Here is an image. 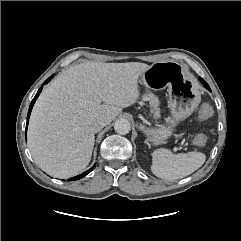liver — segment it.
Segmentation results:
<instances>
[{
  "mask_svg": "<svg viewBox=\"0 0 241 241\" xmlns=\"http://www.w3.org/2000/svg\"><path fill=\"white\" fill-rule=\"evenodd\" d=\"M145 63L87 62L63 71L37 99L28 127V147L47 174L69 178L89 164L95 141L92 123L109 124L139 98Z\"/></svg>",
  "mask_w": 241,
  "mask_h": 241,
  "instance_id": "liver-1",
  "label": "liver"
}]
</instances>
